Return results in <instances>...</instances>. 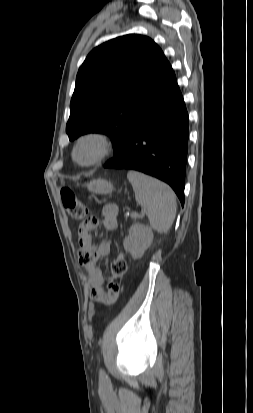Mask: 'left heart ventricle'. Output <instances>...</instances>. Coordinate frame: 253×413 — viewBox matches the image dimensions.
<instances>
[{"mask_svg": "<svg viewBox=\"0 0 253 413\" xmlns=\"http://www.w3.org/2000/svg\"><path fill=\"white\" fill-rule=\"evenodd\" d=\"M95 153L96 146L91 142H87L79 148L77 156L81 161H88L94 157Z\"/></svg>", "mask_w": 253, "mask_h": 413, "instance_id": "obj_1", "label": "left heart ventricle"}]
</instances>
